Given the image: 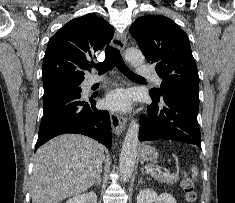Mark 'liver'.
Segmentation results:
<instances>
[{"label": "liver", "instance_id": "1", "mask_svg": "<svg viewBox=\"0 0 235 203\" xmlns=\"http://www.w3.org/2000/svg\"><path fill=\"white\" fill-rule=\"evenodd\" d=\"M104 156V146L83 135L51 139L34 157L32 203H60L88 190L101 173Z\"/></svg>", "mask_w": 235, "mask_h": 203}]
</instances>
